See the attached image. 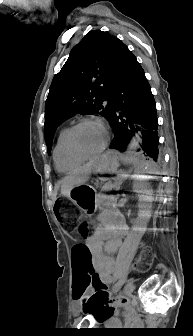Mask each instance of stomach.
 Instances as JSON below:
<instances>
[{"label":"stomach","instance_id":"obj_1","mask_svg":"<svg viewBox=\"0 0 193 336\" xmlns=\"http://www.w3.org/2000/svg\"><path fill=\"white\" fill-rule=\"evenodd\" d=\"M117 167V154L115 152H107L101 156L92 171L99 174H113L117 171ZM68 197L84 212L90 214L93 213L98 201L96 191L86 184L75 186Z\"/></svg>","mask_w":193,"mask_h":336}]
</instances>
